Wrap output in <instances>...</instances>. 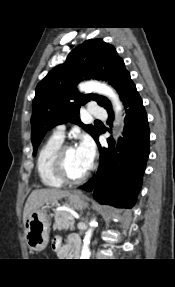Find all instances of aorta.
Listing matches in <instances>:
<instances>
[{
	"mask_svg": "<svg viewBox=\"0 0 175 287\" xmlns=\"http://www.w3.org/2000/svg\"><path fill=\"white\" fill-rule=\"evenodd\" d=\"M79 89L84 92H96L98 94L107 96L113 103L114 110L116 112V118L118 116V113L122 110V105H121L118 95L115 93V91L111 87L105 84H101L97 82H87V83L81 84L79 86ZM89 226L90 227L85 234L80 259H90L91 253L89 249V244H90V239L92 236L93 228L97 226L96 220L92 219L89 223Z\"/></svg>",
	"mask_w": 175,
	"mask_h": 287,
	"instance_id": "aorta-1",
	"label": "aorta"
}]
</instances>
